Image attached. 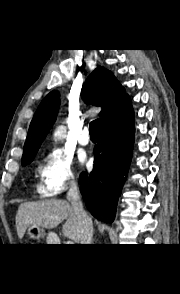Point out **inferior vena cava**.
<instances>
[{
  "instance_id": "inferior-vena-cava-1",
  "label": "inferior vena cava",
  "mask_w": 180,
  "mask_h": 294,
  "mask_svg": "<svg viewBox=\"0 0 180 294\" xmlns=\"http://www.w3.org/2000/svg\"><path fill=\"white\" fill-rule=\"evenodd\" d=\"M67 200L71 203L74 214L78 222L80 233V244H92L93 224L92 219L83 208V204L79 195L77 183L73 181L67 192Z\"/></svg>"
}]
</instances>
